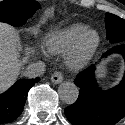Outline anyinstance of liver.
<instances>
[{
	"mask_svg": "<svg viewBox=\"0 0 125 125\" xmlns=\"http://www.w3.org/2000/svg\"><path fill=\"white\" fill-rule=\"evenodd\" d=\"M26 50L25 57L20 59L15 29L6 23H0V93L14 83L22 65L28 61L32 50Z\"/></svg>",
	"mask_w": 125,
	"mask_h": 125,
	"instance_id": "6515ba94",
	"label": "liver"
}]
</instances>
